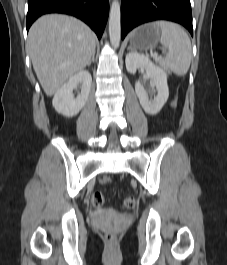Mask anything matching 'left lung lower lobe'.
<instances>
[{"label": "left lung lower lobe", "mask_w": 227, "mask_h": 265, "mask_svg": "<svg viewBox=\"0 0 227 265\" xmlns=\"http://www.w3.org/2000/svg\"><path fill=\"white\" fill-rule=\"evenodd\" d=\"M153 20L177 22L193 36L190 0H122V39L134 27Z\"/></svg>", "instance_id": "obj_1"}]
</instances>
